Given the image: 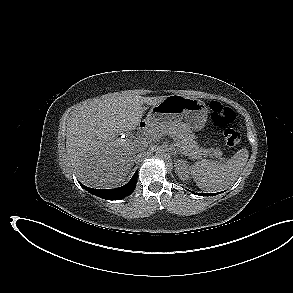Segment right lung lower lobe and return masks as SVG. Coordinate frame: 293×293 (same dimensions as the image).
<instances>
[{
    "mask_svg": "<svg viewBox=\"0 0 293 293\" xmlns=\"http://www.w3.org/2000/svg\"><path fill=\"white\" fill-rule=\"evenodd\" d=\"M138 172L136 171L131 180L124 186L115 189H93L85 185L82 187L88 192L107 200H119L131 194L136 186Z\"/></svg>",
    "mask_w": 293,
    "mask_h": 293,
    "instance_id": "obj_1",
    "label": "right lung lower lobe"
}]
</instances>
